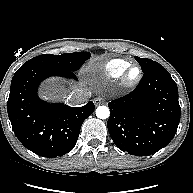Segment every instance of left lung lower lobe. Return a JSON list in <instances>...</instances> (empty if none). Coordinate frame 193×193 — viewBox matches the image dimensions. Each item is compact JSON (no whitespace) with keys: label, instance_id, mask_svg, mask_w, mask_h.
I'll use <instances>...</instances> for the list:
<instances>
[{"label":"left lung lower lobe","instance_id":"0a47b994","mask_svg":"<svg viewBox=\"0 0 193 193\" xmlns=\"http://www.w3.org/2000/svg\"><path fill=\"white\" fill-rule=\"evenodd\" d=\"M110 136L122 151L147 156L165 147L180 121L178 88L160 64L144 72L131 93L108 104Z\"/></svg>","mask_w":193,"mask_h":193}]
</instances>
